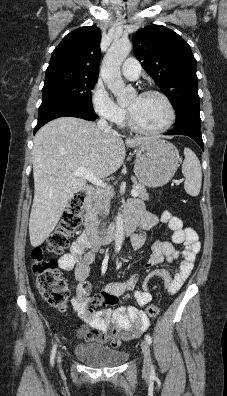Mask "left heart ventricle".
<instances>
[{
	"label": "left heart ventricle",
	"instance_id": "b2bd125f",
	"mask_svg": "<svg viewBox=\"0 0 227 396\" xmlns=\"http://www.w3.org/2000/svg\"><path fill=\"white\" fill-rule=\"evenodd\" d=\"M136 123L146 129L162 127L169 113L165 103L157 96L135 95L127 103Z\"/></svg>",
	"mask_w": 227,
	"mask_h": 396
}]
</instances>
